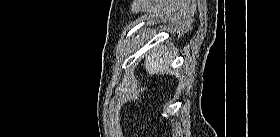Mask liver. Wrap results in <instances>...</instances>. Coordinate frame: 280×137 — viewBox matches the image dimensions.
<instances>
[{"mask_svg": "<svg viewBox=\"0 0 280 137\" xmlns=\"http://www.w3.org/2000/svg\"><path fill=\"white\" fill-rule=\"evenodd\" d=\"M166 52L164 50L161 51H153V55L149 56L145 63V69L149 72L150 75L158 74L164 75L168 70V59L165 56Z\"/></svg>", "mask_w": 280, "mask_h": 137, "instance_id": "liver-1", "label": "liver"}]
</instances>
